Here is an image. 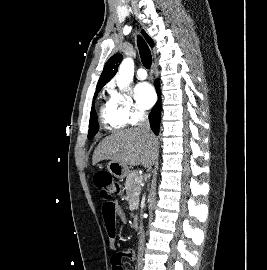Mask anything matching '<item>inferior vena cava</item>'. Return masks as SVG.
I'll return each mask as SVG.
<instances>
[{
    "instance_id": "1",
    "label": "inferior vena cava",
    "mask_w": 267,
    "mask_h": 270,
    "mask_svg": "<svg viewBox=\"0 0 267 270\" xmlns=\"http://www.w3.org/2000/svg\"><path fill=\"white\" fill-rule=\"evenodd\" d=\"M138 126L141 129L145 130L146 132L150 133L151 129H150L149 121H148V116L146 113L141 114V119H140ZM143 250H144V233H143V227L141 226V235H140V239H139L138 260H137L138 265L142 264Z\"/></svg>"
}]
</instances>
